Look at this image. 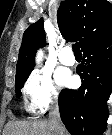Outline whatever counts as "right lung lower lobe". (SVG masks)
Segmentation results:
<instances>
[{
  "instance_id": "obj_1",
  "label": "right lung lower lobe",
  "mask_w": 112,
  "mask_h": 135,
  "mask_svg": "<svg viewBox=\"0 0 112 135\" xmlns=\"http://www.w3.org/2000/svg\"><path fill=\"white\" fill-rule=\"evenodd\" d=\"M82 52L84 60L76 69L82 85L78 90L61 91L60 116L72 135H101L112 91V34L85 46Z\"/></svg>"
}]
</instances>
